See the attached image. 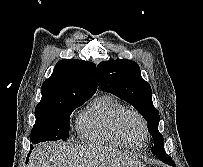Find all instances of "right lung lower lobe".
<instances>
[{
  "mask_svg": "<svg viewBox=\"0 0 203 167\" xmlns=\"http://www.w3.org/2000/svg\"><path fill=\"white\" fill-rule=\"evenodd\" d=\"M30 149H33V146H31ZM29 156H30V153L28 154L27 161L29 160Z\"/></svg>",
  "mask_w": 203,
  "mask_h": 167,
  "instance_id": "98d812e1",
  "label": "right lung lower lobe"
}]
</instances>
